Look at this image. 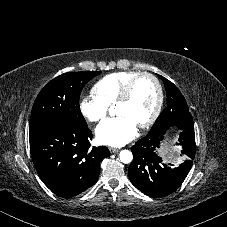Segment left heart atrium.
<instances>
[{
  "label": "left heart atrium",
  "instance_id": "obj_1",
  "mask_svg": "<svg viewBox=\"0 0 227 227\" xmlns=\"http://www.w3.org/2000/svg\"><path fill=\"white\" fill-rule=\"evenodd\" d=\"M137 132L135 123L126 116H116L103 120L95 134L101 144L122 146L132 140Z\"/></svg>",
  "mask_w": 227,
  "mask_h": 227
}]
</instances>
